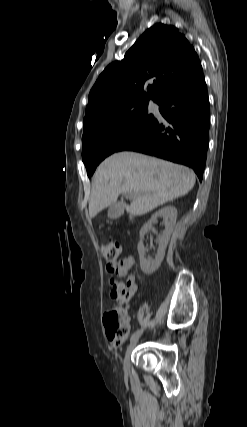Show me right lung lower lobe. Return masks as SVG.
<instances>
[{"label":"right lung lower lobe","mask_w":247,"mask_h":427,"mask_svg":"<svg viewBox=\"0 0 247 427\" xmlns=\"http://www.w3.org/2000/svg\"><path fill=\"white\" fill-rule=\"evenodd\" d=\"M158 105L163 119L153 116L118 151H136L189 166L202 181L210 128L203 72L176 87Z\"/></svg>","instance_id":"right-lung-lower-lobe-1"}]
</instances>
